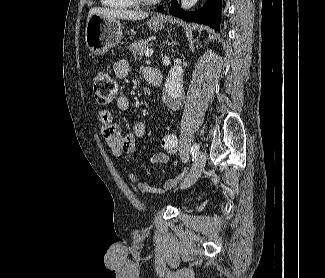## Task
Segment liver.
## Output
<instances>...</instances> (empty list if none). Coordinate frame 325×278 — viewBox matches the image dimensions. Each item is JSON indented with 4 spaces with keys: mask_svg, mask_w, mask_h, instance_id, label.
Segmentation results:
<instances>
[{
    "mask_svg": "<svg viewBox=\"0 0 325 278\" xmlns=\"http://www.w3.org/2000/svg\"><path fill=\"white\" fill-rule=\"evenodd\" d=\"M94 14H98L106 18L122 20H142L147 18L149 15L147 12L142 11H129L113 8L93 7L88 13V19Z\"/></svg>",
    "mask_w": 325,
    "mask_h": 278,
    "instance_id": "obj_1",
    "label": "liver"
}]
</instances>
